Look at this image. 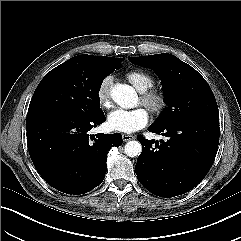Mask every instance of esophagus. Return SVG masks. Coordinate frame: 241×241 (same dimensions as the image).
Listing matches in <instances>:
<instances>
[{"instance_id":"1","label":"esophagus","mask_w":241,"mask_h":241,"mask_svg":"<svg viewBox=\"0 0 241 241\" xmlns=\"http://www.w3.org/2000/svg\"><path fill=\"white\" fill-rule=\"evenodd\" d=\"M135 137L133 135H129V134H123L122 135V139L123 141L127 142V141H130V140H133Z\"/></svg>"}]
</instances>
